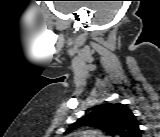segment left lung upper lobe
<instances>
[{"instance_id": "5c2ea615", "label": "left lung upper lobe", "mask_w": 160, "mask_h": 137, "mask_svg": "<svg viewBox=\"0 0 160 137\" xmlns=\"http://www.w3.org/2000/svg\"><path fill=\"white\" fill-rule=\"evenodd\" d=\"M80 126L96 127L115 137H131L139 124L126 105L105 103L97 106L90 114L78 119L66 133Z\"/></svg>"}]
</instances>
